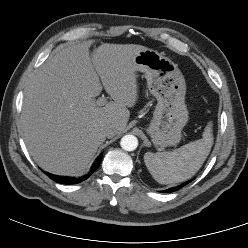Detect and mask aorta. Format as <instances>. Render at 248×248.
Listing matches in <instances>:
<instances>
[{
  "mask_svg": "<svg viewBox=\"0 0 248 248\" xmlns=\"http://www.w3.org/2000/svg\"><path fill=\"white\" fill-rule=\"evenodd\" d=\"M120 145L126 151H134L138 146V140L134 135H125L121 139Z\"/></svg>",
  "mask_w": 248,
  "mask_h": 248,
  "instance_id": "obj_1",
  "label": "aorta"
}]
</instances>
